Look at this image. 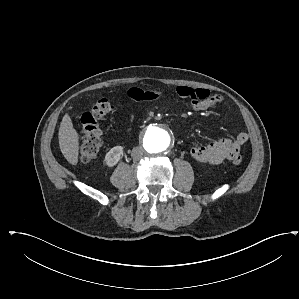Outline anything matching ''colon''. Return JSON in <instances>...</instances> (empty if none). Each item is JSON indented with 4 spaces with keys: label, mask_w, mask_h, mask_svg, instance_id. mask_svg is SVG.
<instances>
[{
    "label": "colon",
    "mask_w": 299,
    "mask_h": 299,
    "mask_svg": "<svg viewBox=\"0 0 299 299\" xmlns=\"http://www.w3.org/2000/svg\"><path fill=\"white\" fill-rule=\"evenodd\" d=\"M113 106L106 98L96 100L91 109L81 116L83 141L79 158L83 163L90 162L99 154L103 146L102 131L98 120L112 112ZM235 165L242 163V157L238 154L232 158Z\"/></svg>",
    "instance_id": "1"
}]
</instances>
